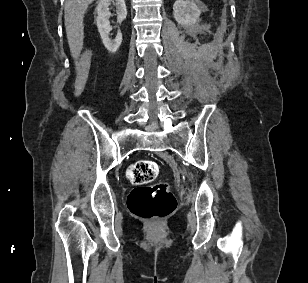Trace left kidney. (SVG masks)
Instances as JSON below:
<instances>
[{
    "label": "left kidney",
    "instance_id": "left-kidney-1",
    "mask_svg": "<svg viewBox=\"0 0 308 283\" xmlns=\"http://www.w3.org/2000/svg\"><path fill=\"white\" fill-rule=\"evenodd\" d=\"M203 9L205 7L199 0H176L173 15L178 24L186 27L198 22Z\"/></svg>",
    "mask_w": 308,
    "mask_h": 283
}]
</instances>
